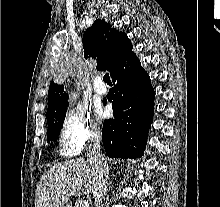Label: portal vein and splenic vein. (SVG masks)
<instances>
[{
    "label": "portal vein and splenic vein",
    "instance_id": "obj_1",
    "mask_svg": "<svg viewBox=\"0 0 220 207\" xmlns=\"http://www.w3.org/2000/svg\"><path fill=\"white\" fill-rule=\"evenodd\" d=\"M80 207H89V203L87 201H81Z\"/></svg>",
    "mask_w": 220,
    "mask_h": 207
}]
</instances>
